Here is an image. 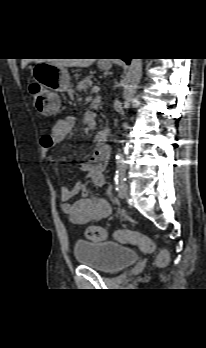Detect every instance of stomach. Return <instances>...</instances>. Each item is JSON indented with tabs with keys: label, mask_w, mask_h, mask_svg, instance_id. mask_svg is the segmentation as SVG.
<instances>
[{
	"label": "stomach",
	"mask_w": 206,
	"mask_h": 348,
	"mask_svg": "<svg viewBox=\"0 0 206 348\" xmlns=\"http://www.w3.org/2000/svg\"><path fill=\"white\" fill-rule=\"evenodd\" d=\"M99 65L102 69L111 67L110 62H100ZM32 76L37 84L43 88L34 96L36 110L43 115L53 114L60 105L57 92L67 91L70 87V76L67 69L49 62L38 63L32 69Z\"/></svg>",
	"instance_id": "0dacf381"
}]
</instances>
